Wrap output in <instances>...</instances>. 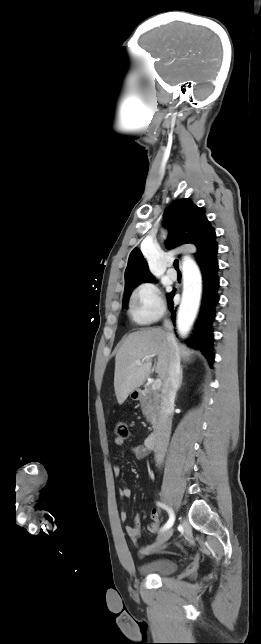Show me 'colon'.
I'll list each match as a JSON object with an SVG mask.
<instances>
[{
	"instance_id": "colon-1",
	"label": "colon",
	"mask_w": 261,
	"mask_h": 644,
	"mask_svg": "<svg viewBox=\"0 0 261 644\" xmlns=\"http://www.w3.org/2000/svg\"><path fill=\"white\" fill-rule=\"evenodd\" d=\"M117 438L126 439L129 436L128 426L125 422H118L115 428Z\"/></svg>"
}]
</instances>
